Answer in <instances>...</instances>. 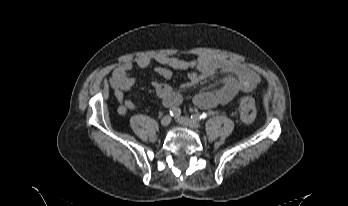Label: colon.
I'll return each mask as SVG.
<instances>
[{"mask_svg":"<svg viewBox=\"0 0 348 206\" xmlns=\"http://www.w3.org/2000/svg\"><path fill=\"white\" fill-rule=\"evenodd\" d=\"M238 106L240 110V116L243 122L252 123L255 118V109L253 101L246 97L241 96L238 100Z\"/></svg>","mask_w":348,"mask_h":206,"instance_id":"obj_1","label":"colon"}]
</instances>
